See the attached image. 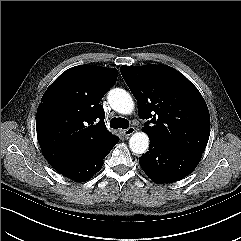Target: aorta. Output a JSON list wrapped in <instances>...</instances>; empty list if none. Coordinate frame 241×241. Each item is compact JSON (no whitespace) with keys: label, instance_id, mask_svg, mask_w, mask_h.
Returning a JSON list of instances; mask_svg holds the SVG:
<instances>
[{"label":"aorta","instance_id":"obj_1","mask_svg":"<svg viewBox=\"0 0 241 241\" xmlns=\"http://www.w3.org/2000/svg\"><path fill=\"white\" fill-rule=\"evenodd\" d=\"M108 102L113 110L120 114H131L134 102L131 95L124 89L114 88L108 93ZM129 147L133 153L143 154L149 147V137L144 132L134 133L129 140Z\"/></svg>","mask_w":241,"mask_h":241}]
</instances>
